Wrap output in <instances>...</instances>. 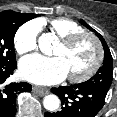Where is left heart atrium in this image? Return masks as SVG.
<instances>
[{"instance_id": "39dd6f15", "label": "left heart atrium", "mask_w": 117, "mask_h": 117, "mask_svg": "<svg viewBox=\"0 0 117 117\" xmlns=\"http://www.w3.org/2000/svg\"><path fill=\"white\" fill-rule=\"evenodd\" d=\"M20 73L24 79L40 85L59 83L68 75L61 58L41 55L23 58L20 62Z\"/></svg>"}]
</instances>
